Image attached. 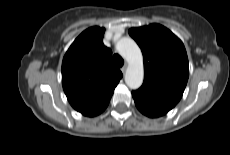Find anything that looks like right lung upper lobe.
I'll return each instance as SVG.
<instances>
[{"mask_svg":"<svg viewBox=\"0 0 230 155\" xmlns=\"http://www.w3.org/2000/svg\"><path fill=\"white\" fill-rule=\"evenodd\" d=\"M104 28L82 32L62 62V85L71 106L84 116L94 117L108 106L121 71L111 60L112 51L103 44Z\"/></svg>","mask_w":230,"mask_h":155,"instance_id":"cb5924a9","label":"right lung upper lobe"}]
</instances>
